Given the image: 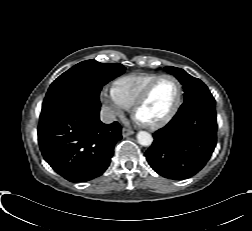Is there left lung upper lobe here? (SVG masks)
I'll return each instance as SVG.
<instances>
[{
  "instance_id": "obj_1",
  "label": "left lung upper lobe",
  "mask_w": 252,
  "mask_h": 231,
  "mask_svg": "<svg viewBox=\"0 0 252 231\" xmlns=\"http://www.w3.org/2000/svg\"><path fill=\"white\" fill-rule=\"evenodd\" d=\"M173 74L184 86V101L202 96H212L207 86L199 79L190 76L183 69L167 66L165 68Z\"/></svg>"
}]
</instances>
